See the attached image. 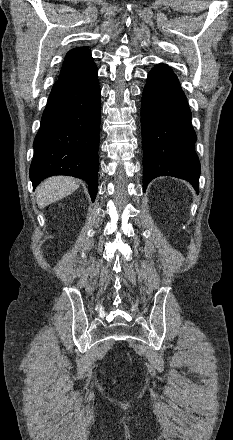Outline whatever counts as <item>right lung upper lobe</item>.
I'll use <instances>...</instances> for the list:
<instances>
[{
    "instance_id": "right-lung-upper-lobe-1",
    "label": "right lung upper lobe",
    "mask_w": 233,
    "mask_h": 440,
    "mask_svg": "<svg viewBox=\"0 0 233 440\" xmlns=\"http://www.w3.org/2000/svg\"><path fill=\"white\" fill-rule=\"evenodd\" d=\"M95 66L91 52L85 47L70 50L64 60L59 79L73 76Z\"/></svg>"
}]
</instances>
